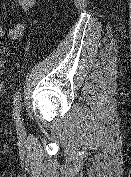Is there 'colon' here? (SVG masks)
Masks as SVG:
<instances>
[{
  "mask_svg": "<svg viewBox=\"0 0 131 177\" xmlns=\"http://www.w3.org/2000/svg\"><path fill=\"white\" fill-rule=\"evenodd\" d=\"M7 62L5 60H3L0 56V72H3L4 70L7 69Z\"/></svg>",
  "mask_w": 131,
  "mask_h": 177,
  "instance_id": "5ec220e1",
  "label": "colon"
}]
</instances>
